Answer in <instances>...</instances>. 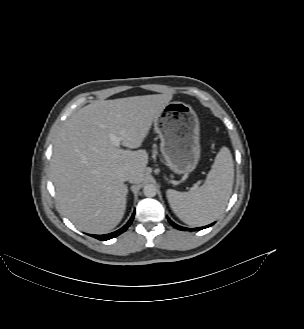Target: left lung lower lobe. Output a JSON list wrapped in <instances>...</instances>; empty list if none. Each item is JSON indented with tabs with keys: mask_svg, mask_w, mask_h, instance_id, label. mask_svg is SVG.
Here are the masks:
<instances>
[{
	"mask_svg": "<svg viewBox=\"0 0 304 329\" xmlns=\"http://www.w3.org/2000/svg\"><path fill=\"white\" fill-rule=\"evenodd\" d=\"M168 221L170 222V224H171L172 226H174V227L177 228L178 230H182V231H198V230H201V229H204V228H207V227L213 225V223H212V224H210V225H208V226H205V227H199V228L190 229V228H185V227H182V226H179V225L175 224V223L172 222L169 218H168Z\"/></svg>",
	"mask_w": 304,
	"mask_h": 329,
	"instance_id": "1",
	"label": "left lung lower lobe"
}]
</instances>
